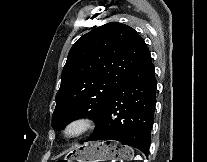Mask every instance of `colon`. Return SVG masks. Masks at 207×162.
Here are the masks:
<instances>
[{
    "label": "colon",
    "mask_w": 207,
    "mask_h": 162,
    "mask_svg": "<svg viewBox=\"0 0 207 162\" xmlns=\"http://www.w3.org/2000/svg\"><path fill=\"white\" fill-rule=\"evenodd\" d=\"M58 162H71V161H69V160H60Z\"/></svg>",
    "instance_id": "1"
}]
</instances>
